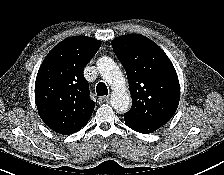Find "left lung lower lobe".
Returning <instances> with one entry per match:
<instances>
[{
  "instance_id": "left-lung-lower-lobe-1",
  "label": "left lung lower lobe",
  "mask_w": 224,
  "mask_h": 175,
  "mask_svg": "<svg viewBox=\"0 0 224 175\" xmlns=\"http://www.w3.org/2000/svg\"><path fill=\"white\" fill-rule=\"evenodd\" d=\"M125 123L131 129L140 132V133H152L160 128L162 125H143V124H136L132 122H128L125 120Z\"/></svg>"
}]
</instances>
